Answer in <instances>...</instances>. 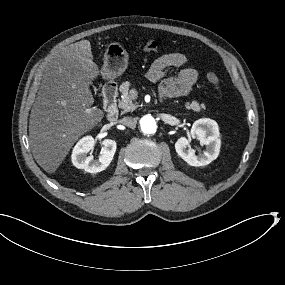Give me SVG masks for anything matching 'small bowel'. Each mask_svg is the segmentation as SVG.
Returning a JSON list of instances; mask_svg holds the SVG:
<instances>
[{"label":"small bowel","mask_w":285,"mask_h":285,"mask_svg":"<svg viewBox=\"0 0 285 285\" xmlns=\"http://www.w3.org/2000/svg\"><path fill=\"white\" fill-rule=\"evenodd\" d=\"M187 57L178 52L158 56L147 72L152 82H159L162 97H177L188 94L198 80V73L192 68H185ZM181 68L176 76H166L169 68Z\"/></svg>","instance_id":"c3829d8e"}]
</instances>
